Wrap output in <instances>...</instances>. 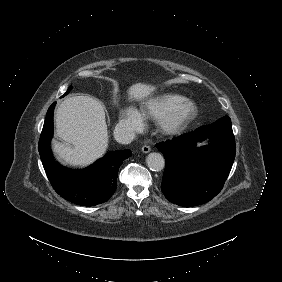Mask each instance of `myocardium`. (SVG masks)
<instances>
[{"label": "myocardium", "mask_w": 282, "mask_h": 282, "mask_svg": "<svg viewBox=\"0 0 282 282\" xmlns=\"http://www.w3.org/2000/svg\"><path fill=\"white\" fill-rule=\"evenodd\" d=\"M192 115V103L190 101H184L170 114H168L167 121L171 126H176L184 120L192 117Z\"/></svg>", "instance_id": "1"}]
</instances>
